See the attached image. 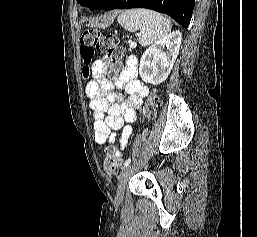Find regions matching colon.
<instances>
[{"instance_id": "obj_1", "label": "colon", "mask_w": 257, "mask_h": 237, "mask_svg": "<svg viewBox=\"0 0 257 237\" xmlns=\"http://www.w3.org/2000/svg\"><path fill=\"white\" fill-rule=\"evenodd\" d=\"M96 53L103 56L104 60L111 66V75H115L121 67V61L125 50L118 43V38L114 34H103L97 29L85 31L81 37L80 54L86 65H88ZM85 73L89 69L85 67ZM161 104L160 97L153 92L148 101L142 106V114L145 118H153L155 109ZM123 161L122 154L116 146L107 149L103 161L104 170L111 175L118 172Z\"/></svg>"}]
</instances>
